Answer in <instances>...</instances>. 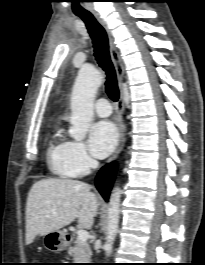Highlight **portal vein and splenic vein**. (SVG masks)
Instances as JSON below:
<instances>
[{
	"label": "portal vein and splenic vein",
	"mask_w": 205,
	"mask_h": 265,
	"mask_svg": "<svg viewBox=\"0 0 205 265\" xmlns=\"http://www.w3.org/2000/svg\"><path fill=\"white\" fill-rule=\"evenodd\" d=\"M77 235L78 239L82 242H86L89 237V233L86 230L81 229L77 231Z\"/></svg>",
	"instance_id": "obj_1"
}]
</instances>
